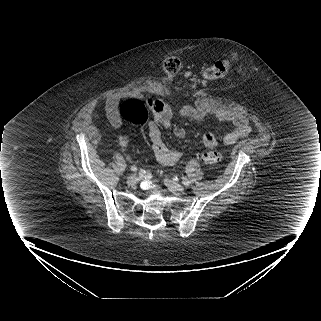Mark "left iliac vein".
Listing matches in <instances>:
<instances>
[{"mask_svg":"<svg viewBox=\"0 0 321 321\" xmlns=\"http://www.w3.org/2000/svg\"><path fill=\"white\" fill-rule=\"evenodd\" d=\"M165 184L175 194H181L184 192V187L182 185L168 178L165 179Z\"/></svg>","mask_w":321,"mask_h":321,"instance_id":"4c4485c4","label":"left iliac vein"}]
</instances>
